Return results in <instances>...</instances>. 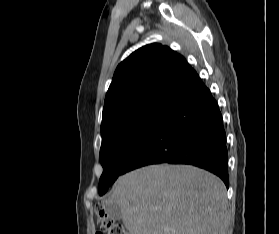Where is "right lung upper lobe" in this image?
<instances>
[{
	"label": "right lung upper lobe",
	"mask_w": 279,
	"mask_h": 234,
	"mask_svg": "<svg viewBox=\"0 0 279 234\" xmlns=\"http://www.w3.org/2000/svg\"><path fill=\"white\" fill-rule=\"evenodd\" d=\"M199 76L185 58L167 46L148 44L121 62L107 91L102 124L149 105L169 107Z\"/></svg>",
	"instance_id": "1"
}]
</instances>
